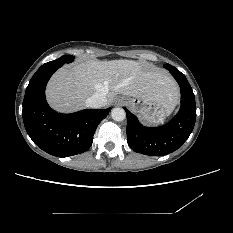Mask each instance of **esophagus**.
Listing matches in <instances>:
<instances>
[{"mask_svg": "<svg viewBox=\"0 0 233 233\" xmlns=\"http://www.w3.org/2000/svg\"><path fill=\"white\" fill-rule=\"evenodd\" d=\"M118 102H119V104H124L125 103L124 100H119Z\"/></svg>", "mask_w": 233, "mask_h": 233, "instance_id": "1", "label": "esophagus"}]
</instances>
